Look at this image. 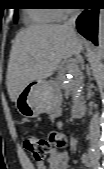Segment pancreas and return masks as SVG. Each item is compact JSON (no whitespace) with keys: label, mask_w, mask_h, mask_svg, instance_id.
<instances>
[{"label":"pancreas","mask_w":104,"mask_h":169,"mask_svg":"<svg viewBox=\"0 0 104 169\" xmlns=\"http://www.w3.org/2000/svg\"><path fill=\"white\" fill-rule=\"evenodd\" d=\"M65 72H69L68 67H65V68L61 71L62 74H64ZM80 74H81V72H80V70H79V68H78V71H77V73H76L75 76L80 75ZM73 84L75 85L76 82L73 81ZM75 95H79L78 98H76ZM73 96H74V103L79 102V101L83 98V97L81 96V93L78 92L77 90H74V91H73Z\"/></svg>","instance_id":"1"}]
</instances>
